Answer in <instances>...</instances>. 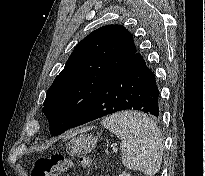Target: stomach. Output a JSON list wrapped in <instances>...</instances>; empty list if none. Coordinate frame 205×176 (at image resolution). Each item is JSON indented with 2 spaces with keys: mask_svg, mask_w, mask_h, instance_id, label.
<instances>
[{
  "mask_svg": "<svg viewBox=\"0 0 205 176\" xmlns=\"http://www.w3.org/2000/svg\"><path fill=\"white\" fill-rule=\"evenodd\" d=\"M97 141V136L82 133L67 144V152L70 155L90 153L96 147Z\"/></svg>",
  "mask_w": 205,
  "mask_h": 176,
  "instance_id": "stomach-1",
  "label": "stomach"
}]
</instances>
